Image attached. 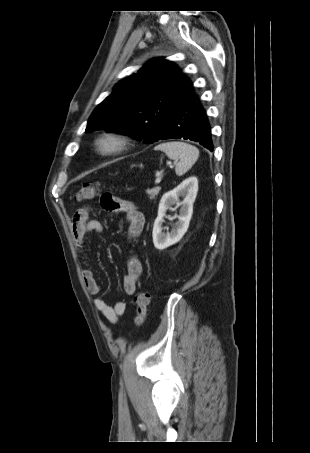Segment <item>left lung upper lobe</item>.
<instances>
[{
    "instance_id": "obj_1",
    "label": "left lung upper lobe",
    "mask_w": 310,
    "mask_h": 453,
    "mask_svg": "<svg viewBox=\"0 0 310 453\" xmlns=\"http://www.w3.org/2000/svg\"><path fill=\"white\" fill-rule=\"evenodd\" d=\"M189 79L170 61L156 58L119 81L91 114L86 132L98 126L154 143L160 140Z\"/></svg>"
}]
</instances>
